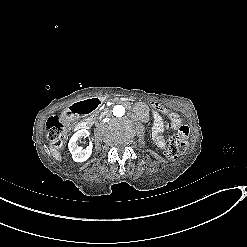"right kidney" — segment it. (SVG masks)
Masks as SVG:
<instances>
[{
	"label": "right kidney",
	"instance_id": "1",
	"mask_svg": "<svg viewBox=\"0 0 247 247\" xmlns=\"http://www.w3.org/2000/svg\"><path fill=\"white\" fill-rule=\"evenodd\" d=\"M89 131L86 129H81L76 131L69 140L68 149L72 154V158L75 162H84L86 161L92 154L93 145L90 143L85 149L78 145V141L81 138H85L89 136Z\"/></svg>",
	"mask_w": 247,
	"mask_h": 247
}]
</instances>
